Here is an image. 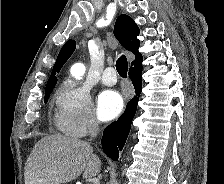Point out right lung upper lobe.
<instances>
[{
	"instance_id": "obj_1",
	"label": "right lung upper lobe",
	"mask_w": 224,
	"mask_h": 184,
	"mask_svg": "<svg viewBox=\"0 0 224 184\" xmlns=\"http://www.w3.org/2000/svg\"><path fill=\"white\" fill-rule=\"evenodd\" d=\"M114 35L126 50L135 54V60L131 63L132 67L130 68L142 66L143 57L138 51L140 41L137 39V36L139 35V28L134 20L128 15H120L115 22ZM75 47L76 42L74 40H68L63 45L53 67L52 75L49 77L47 82L45 91L52 90L54 88L57 83V77L55 76L56 72L60 71L64 63L74 52Z\"/></svg>"
}]
</instances>
